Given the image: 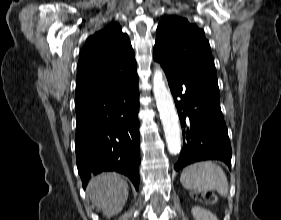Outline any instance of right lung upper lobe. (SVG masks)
<instances>
[{"mask_svg": "<svg viewBox=\"0 0 281 220\" xmlns=\"http://www.w3.org/2000/svg\"><path fill=\"white\" fill-rule=\"evenodd\" d=\"M138 79L127 34L114 23L90 36L80 51L75 107L120 91Z\"/></svg>", "mask_w": 281, "mask_h": 220, "instance_id": "obj_1", "label": "right lung upper lobe"}]
</instances>
